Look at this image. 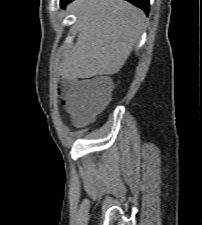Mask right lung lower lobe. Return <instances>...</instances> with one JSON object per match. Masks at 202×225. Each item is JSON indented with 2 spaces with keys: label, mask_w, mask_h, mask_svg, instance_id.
<instances>
[{
  "label": "right lung lower lobe",
  "mask_w": 202,
  "mask_h": 225,
  "mask_svg": "<svg viewBox=\"0 0 202 225\" xmlns=\"http://www.w3.org/2000/svg\"><path fill=\"white\" fill-rule=\"evenodd\" d=\"M73 0H60L61 2V7L64 8L66 3L71 2ZM129 1L130 3L136 5L137 7L143 9L146 13L149 12V0H126Z\"/></svg>",
  "instance_id": "1"
}]
</instances>
